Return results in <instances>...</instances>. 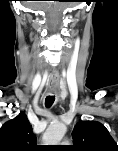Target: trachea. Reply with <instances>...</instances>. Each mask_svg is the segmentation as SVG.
<instances>
[{"instance_id": "trachea-1", "label": "trachea", "mask_w": 118, "mask_h": 151, "mask_svg": "<svg viewBox=\"0 0 118 151\" xmlns=\"http://www.w3.org/2000/svg\"><path fill=\"white\" fill-rule=\"evenodd\" d=\"M54 101H55L54 96H47L46 99H45V106L47 108H50L53 105Z\"/></svg>"}]
</instances>
